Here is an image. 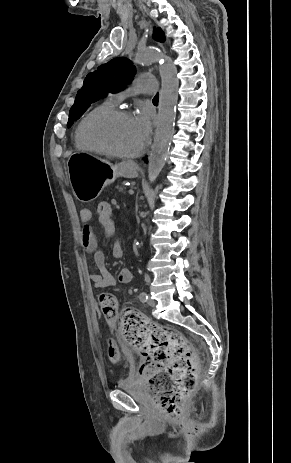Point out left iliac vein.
I'll use <instances>...</instances> for the list:
<instances>
[{"label": "left iliac vein", "instance_id": "1", "mask_svg": "<svg viewBox=\"0 0 291 463\" xmlns=\"http://www.w3.org/2000/svg\"><path fill=\"white\" fill-rule=\"evenodd\" d=\"M147 304L149 306L153 307V306H155L156 302H155V300L153 298L149 297L148 300H147Z\"/></svg>", "mask_w": 291, "mask_h": 463}]
</instances>
